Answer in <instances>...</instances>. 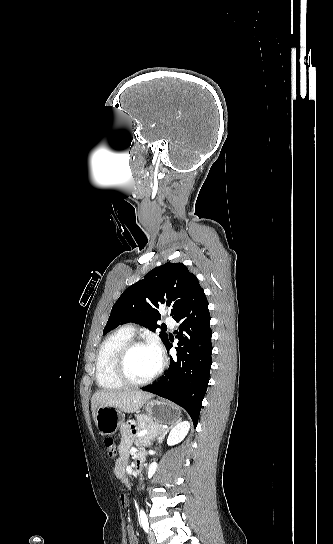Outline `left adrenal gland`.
I'll return each instance as SVG.
<instances>
[{
  "instance_id": "1",
  "label": "left adrenal gland",
  "mask_w": 333,
  "mask_h": 544,
  "mask_svg": "<svg viewBox=\"0 0 333 544\" xmlns=\"http://www.w3.org/2000/svg\"><path fill=\"white\" fill-rule=\"evenodd\" d=\"M173 426L169 427L168 429H166L165 431H162V432H158L155 434V437H157V441L159 443H162L165 435L169 432V430L172 428Z\"/></svg>"
}]
</instances>
